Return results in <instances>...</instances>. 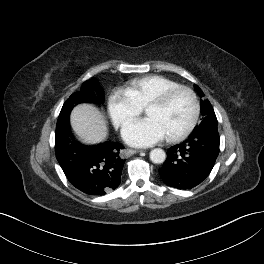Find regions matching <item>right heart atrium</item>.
<instances>
[{"label": "right heart atrium", "instance_id": "1", "mask_svg": "<svg viewBox=\"0 0 264 264\" xmlns=\"http://www.w3.org/2000/svg\"><path fill=\"white\" fill-rule=\"evenodd\" d=\"M108 111L116 126L125 127L140 115L142 109L134 102L126 90H116L109 97Z\"/></svg>", "mask_w": 264, "mask_h": 264}]
</instances>
